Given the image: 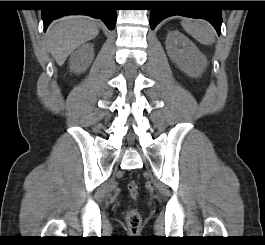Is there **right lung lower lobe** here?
I'll use <instances>...</instances> for the list:
<instances>
[{"mask_svg":"<svg viewBox=\"0 0 265 245\" xmlns=\"http://www.w3.org/2000/svg\"><path fill=\"white\" fill-rule=\"evenodd\" d=\"M56 7L42 10L44 30L52 20L69 14H84L102 19L108 29L116 24V10L113 1H53Z\"/></svg>","mask_w":265,"mask_h":245,"instance_id":"right-lung-lower-lobe-1","label":"right lung lower lobe"}]
</instances>
